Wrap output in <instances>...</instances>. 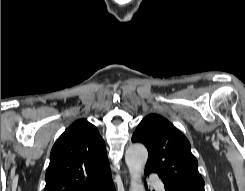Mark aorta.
Here are the masks:
<instances>
[{"instance_id":"aorta-1","label":"aorta","mask_w":245,"mask_h":191,"mask_svg":"<svg viewBox=\"0 0 245 191\" xmlns=\"http://www.w3.org/2000/svg\"><path fill=\"white\" fill-rule=\"evenodd\" d=\"M148 158V152L144 145H130L125 153V161L131 176L130 191H145L142 184V173Z\"/></svg>"}]
</instances>
